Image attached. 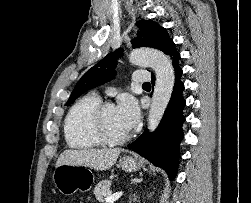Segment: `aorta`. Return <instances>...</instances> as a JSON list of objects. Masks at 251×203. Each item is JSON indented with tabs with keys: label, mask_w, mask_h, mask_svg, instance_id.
Segmentation results:
<instances>
[{
	"label": "aorta",
	"mask_w": 251,
	"mask_h": 203,
	"mask_svg": "<svg viewBox=\"0 0 251 203\" xmlns=\"http://www.w3.org/2000/svg\"><path fill=\"white\" fill-rule=\"evenodd\" d=\"M130 62L137 66H149L156 74V82L152 102L148 113V128L153 132L170 101L175 83V73L172 63L162 51L150 48H140L131 52Z\"/></svg>",
	"instance_id": "762f6f07"
}]
</instances>
